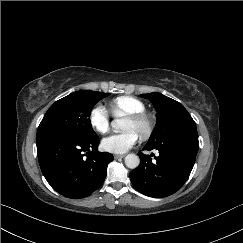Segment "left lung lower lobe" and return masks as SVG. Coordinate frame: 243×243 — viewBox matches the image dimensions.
Here are the masks:
<instances>
[{"label": "left lung lower lobe", "mask_w": 243, "mask_h": 243, "mask_svg": "<svg viewBox=\"0 0 243 243\" xmlns=\"http://www.w3.org/2000/svg\"><path fill=\"white\" fill-rule=\"evenodd\" d=\"M198 148L196 127L155 143H147L143 150H157L159 155L152 161L149 155L138 153L141 163L130 172L133 186L150 197H166L175 193L188 179Z\"/></svg>", "instance_id": "left-lung-lower-lobe-1"}]
</instances>
